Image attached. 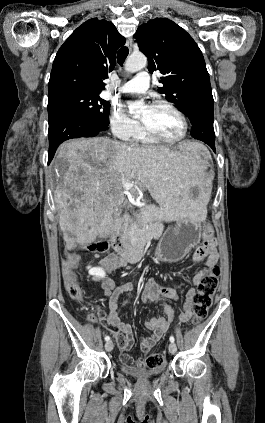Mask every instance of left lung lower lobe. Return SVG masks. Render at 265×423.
Instances as JSON below:
<instances>
[{"label":"left lung lower lobe","mask_w":265,"mask_h":423,"mask_svg":"<svg viewBox=\"0 0 265 423\" xmlns=\"http://www.w3.org/2000/svg\"><path fill=\"white\" fill-rule=\"evenodd\" d=\"M188 118L192 123V137L205 142L215 152V133L213 128L214 101L212 92H204L193 101Z\"/></svg>","instance_id":"left-lung-lower-lobe-1"}]
</instances>
